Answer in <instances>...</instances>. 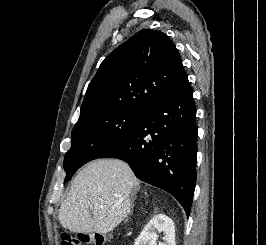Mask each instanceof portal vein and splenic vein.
I'll list each match as a JSON object with an SVG mask.
<instances>
[{
  "label": "portal vein and splenic vein",
  "mask_w": 266,
  "mask_h": 245,
  "mask_svg": "<svg viewBox=\"0 0 266 245\" xmlns=\"http://www.w3.org/2000/svg\"><path fill=\"white\" fill-rule=\"evenodd\" d=\"M100 209H103V205H101Z\"/></svg>",
  "instance_id": "portal-vein-and-splenic-vein-1"
}]
</instances>
